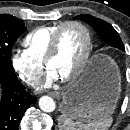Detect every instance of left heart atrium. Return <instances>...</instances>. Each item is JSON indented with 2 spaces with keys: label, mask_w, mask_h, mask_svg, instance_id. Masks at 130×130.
Instances as JSON below:
<instances>
[{
  "label": "left heart atrium",
  "mask_w": 130,
  "mask_h": 130,
  "mask_svg": "<svg viewBox=\"0 0 130 130\" xmlns=\"http://www.w3.org/2000/svg\"><path fill=\"white\" fill-rule=\"evenodd\" d=\"M60 78H59V76L55 73V72H53V71H51V70H48V72H47V77H46V80H45V82H44V84H43V87L44 88H49V87H51L56 81H58Z\"/></svg>",
  "instance_id": "obj_1"
}]
</instances>
